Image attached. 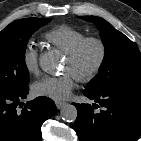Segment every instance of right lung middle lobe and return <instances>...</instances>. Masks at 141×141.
Here are the masks:
<instances>
[{"label": "right lung middle lobe", "instance_id": "dd1d6c3e", "mask_svg": "<svg viewBox=\"0 0 141 141\" xmlns=\"http://www.w3.org/2000/svg\"><path fill=\"white\" fill-rule=\"evenodd\" d=\"M50 21L48 18H24L0 31V93L17 92L28 87L26 45L31 35Z\"/></svg>", "mask_w": 141, "mask_h": 141}]
</instances>
